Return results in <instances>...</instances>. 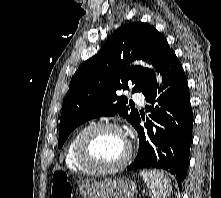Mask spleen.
I'll use <instances>...</instances> for the list:
<instances>
[{
	"instance_id": "1",
	"label": "spleen",
	"mask_w": 221,
	"mask_h": 198,
	"mask_svg": "<svg viewBox=\"0 0 221 198\" xmlns=\"http://www.w3.org/2000/svg\"><path fill=\"white\" fill-rule=\"evenodd\" d=\"M140 176L149 189L151 198H166L171 193V182L162 172L141 170Z\"/></svg>"
}]
</instances>
